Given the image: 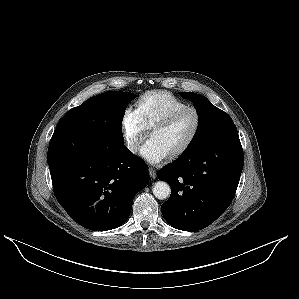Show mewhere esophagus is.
<instances>
[{"mask_svg":"<svg viewBox=\"0 0 299 299\" xmlns=\"http://www.w3.org/2000/svg\"><path fill=\"white\" fill-rule=\"evenodd\" d=\"M149 174L152 179H155L157 176L156 171L152 167L149 168Z\"/></svg>","mask_w":299,"mask_h":299,"instance_id":"obj_1","label":"esophagus"}]
</instances>
